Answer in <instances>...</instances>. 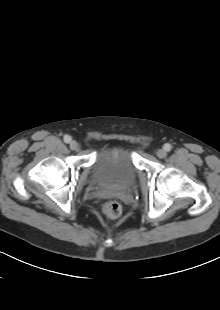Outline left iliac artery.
<instances>
[{"instance_id":"left-iliac-artery-1","label":"left iliac artery","mask_w":220,"mask_h":310,"mask_svg":"<svg viewBox=\"0 0 220 310\" xmlns=\"http://www.w3.org/2000/svg\"><path fill=\"white\" fill-rule=\"evenodd\" d=\"M163 148L166 150V151H171L172 149V146L169 144V143H166Z\"/></svg>"}]
</instances>
